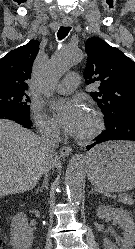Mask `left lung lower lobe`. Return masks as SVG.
<instances>
[{"mask_svg": "<svg viewBox=\"0 0 135 249\" xmlns=\"http://www.w3.org/2000/svg\"><path fill=\"white\" fill-rule=\"evenodd\" d=\"M106 130L95 142L86 148L90 150L96 144L108 140H132L135 141V109H124L115 114L111 121H105Z\"/></svg>", "mask_w": 135, "mask_h": 249, "instance_id": "obj_1", "label": "left lung lower lobe"}]
</instances>
